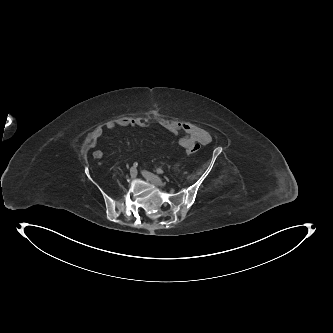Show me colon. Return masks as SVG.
Returning a JSON list of instances; mask_svg holds the SVG:
<instances>
[{
    "mask_svg": "<svg viewBox=\"0 0 333 333\" xmlns=\"http://www.w3.org/2000/svg\"><path fill=\"white\" fill-rule=\"evenodd\" d=\"M200 145L199 144H194V146L192 147L191 153H195L199 150Z\"/></svg>",
    "mask_w": 333,
    "mask_h": 333,
    "instance_id": "obj_1",
    "label": "colon"
}]
</instances>
